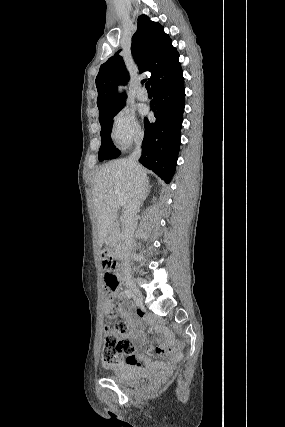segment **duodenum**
Wrapping results in <instances>:
<instances>
[{
  "label": "duodenum",
  "instance_id": "1",
  "mask_svg": "<svg viewBox=\"0 0 285 427\" xmlns=\"http://www.w3.org/2000/svg\"><path fill=\"white\" fill-rule=\"evenodd\" d=\"M118 225V223H114V224H112L111 226H110V229H112L113 227H115V226H117Z\"/></svg>",
  "mask_w": 285,
  "mask_h": 427
}]
</instances>
